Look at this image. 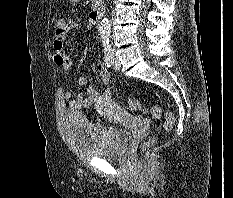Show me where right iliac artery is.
I'll return each instance as SVG.
<instances>
[{
  "label": "right iliac artery",
  "mask_w": 233,
  "mask_h": 198,
  "mask_svg": "<svg viewBox=\"0 0 233 198\" xmlns=\"http://www.w3.org/2000/svg\"><path fill=\"white\" fill-rule=\"evenodd\" d=\"M104 62L105 66L109 68L113 62V55L111 52V45L109 43L104 44Z\"/></svg>",
  "instance_id": "right-iliac-artery-1"
}]
</instances>
